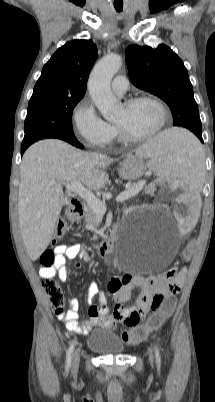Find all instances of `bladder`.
Returning <instances> with one entry per match:
<instances>
[{"label": "bladder", "mask_w": 215, "mask_h": 402, "mask_svg": "<svg viewBox=\"0 0 215 402\" xmlns=\"http://www.w3.org/2000/svg\"><path fill=\"white\" fill-rule=\"evenodd\" d=\"M87 347L99 354H120L124 344L119 336L109 329H96L87 338Z\"/></svg>", "instance_id": "31cf9c89"}]
</instances>
